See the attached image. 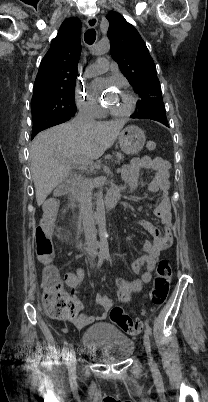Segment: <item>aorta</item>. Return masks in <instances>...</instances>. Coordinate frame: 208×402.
<instances>
[{
    "label": "aorta",
    "instance_id": "obj_1",
    "mask_svg": "<svg viewBox=\"0 0 208 402\" xmlns=\"http://www.w3.org/2000/svg\"><path fill=\"white\" fill-rule=\"evenodd\" d=\"M103 186H100V191L97 198L96 206V218L95 221L98 224L97 233L100 238L98 247L103 258H108L110 256L111 249L109 247V242L107 241L108 235L106 231L108 230L107 218L105 216L104 200H103Z\"/></svg>",
    "mask_w": 208,
    "mask_h": 402
}]
</instances>
